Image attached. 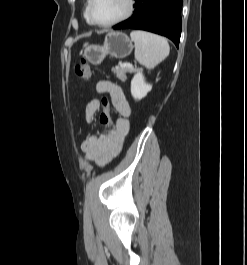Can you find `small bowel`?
<instances>
[{"instance_id": "small-bowel-1", "label": "small bowel", "mask_w": 247, "mask_h": 265, "mask_svg": "<svg viewBox=\"0 0 247 265\" xmlns=\"http://www.w3.org/2000/svg\"><path fill=\"white\" fill-rule=\"evenodd\" d=\"M99 94H108L111 102L118 113L112 128L107 133L92 134L87 136L81 149L86 160L94 162L98 166H104L115 158L122 149L124 140L129 132V116L131 114L130 104L122 88L110 81H99L96 84ZM105 98L99 100L94 98L88 102L85 108V120L90 123L94 115L103 105Z\"/></svg>"}]
</instances>
